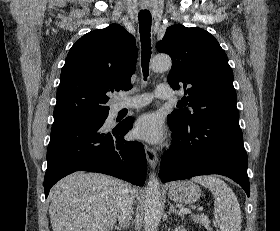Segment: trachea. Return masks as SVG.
I'll list each match as a JSON object with an SVG mask.
<instances>
[{
	"instance_id": "obj_1",
	"label": "trachea",
	"mask_w": 280,
	"mask_h": 231,
	"mask_svg": "<svg viewBox=\"0 0 280 231\" xmlns=\"http://www.w3.org/2000/svg\"><path fill=\"white\" fill-rule=\"evenodd\" d=\"M139 31L141 38V61L144 80L146 81L149 72V61L151 57V14L148 10L139 12ZM181 106V105H177Z\"/></svg>"
}]
</instances>
